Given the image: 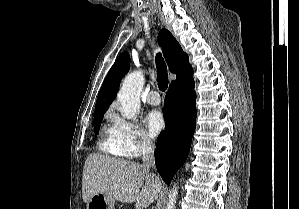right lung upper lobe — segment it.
Wrapping results in <instances>:
<instances>
[{
    "mask_svg": "<svg viewBox=\"0 0 299 209\" xmlns=\"http://www.w3.org/2000/svg\"><path fill=\"white\" fill-rule=\"evenodd\" d=\"M158 43L162 48L169 70L177 75L176 80L172 81L170 86L192 79L193 70L188 63V55L182 50L180 44L168 30L162 29L159 32ZM129 66L130 57L124 52L116 59L102 84L94 114L106 112L116 96L121 77L127 73Z\"/></svg>",
    "mask_w": 299,
    "mask_h": 209,
    "instance_id": "cb5924a9",
    "label": "right lung upper lobe"
}]
</instances>
